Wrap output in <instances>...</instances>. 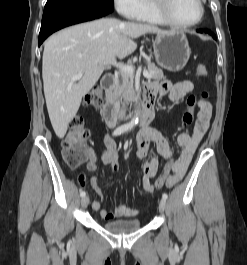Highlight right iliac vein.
I'll return each mask as SVG.
<instances>
[{
	"label": "right iliac vein",
	"mask_w": 247,
	"mask_h": 265,
	"mask_svg": "<svg viewBox=\"0 0 247 265\" xmlns=\"http://www.w3.org/2000/svg\"><path fill=\"white\" fill-rule=\"evenodd\" d=\"M89 204V197L87 196H84L82 199H81V206L83 208H86Z\"/></svg>",
	"instance_id": "1"
}]
</instances>
